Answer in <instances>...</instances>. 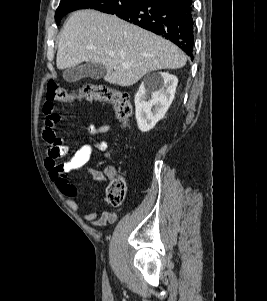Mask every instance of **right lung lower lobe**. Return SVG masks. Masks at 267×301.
I'll return each mask as SVG.
<instances>
[{"label":"right lung lower lobe","mask_w":267,"mask_h":301,"mask_svg":"<svg viewBox=\"0 0 267 301\" xmlns=\"http://www.w3.org/2000/svg\"><path fill=\"white\" fill-rule=\"evenodd\" d=\"M116 15L172 41L193 59L192 0H140Z\"/></svg>","instance_id":"obj_1"}]
</instances>
